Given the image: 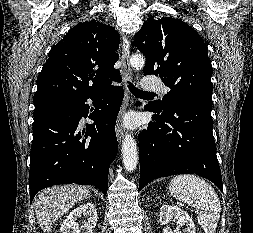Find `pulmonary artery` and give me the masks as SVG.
<instances>
[{"mask_svg": "<svg viewBox=\"0 0 253 233\" xmlns=\"http://www.w3.org/2000/svg\"><path fill=\"white\" fill-rule=\"evenodd\" d=\"M143 88L150 92H160L166 94L169 92V88L164 85L160 80L147 77L142 82Z\"/></svg>", "mask_w": 253, "mask_h": 233, "instance_id": "e3ab8cb5", "label": "pulmonary artery"}]
</instances>
